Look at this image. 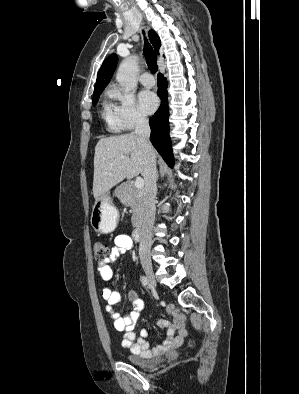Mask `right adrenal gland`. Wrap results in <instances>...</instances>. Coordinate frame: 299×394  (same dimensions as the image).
<instances>
[{
  "instance_id": "obj_1",
  "label": "right adrenal gland",
  "mask_w": 299,
  "mask_h": 394,
  "mask_svg": "<svg viewBox=\"0 0 299 394\" xmlns=\"http://www.w3.org/2000/svg\"><path fill=\"white\" fill-rule=\"evenodd\" d=\"M159 174L158 171L156 172V180H158Z\"/></svg>"
}]
</instances>
